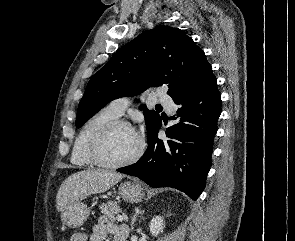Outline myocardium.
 Here are the masks:
<instances>
[{"label": "myocardium", "mask_w": 295, "mask_h": 241, "mask_svg": "<svg viewBox=\"0 0 295 241\" xmlns=\"http://www.w3.org/2000/svg\"><path fill=\"white\" fill-rule=\"evenodd\" d=\"M120 127L128 128L134 131L138 137L139 146L135 154L130 158L119 162L109 161L104 157L103 148L109 136ZM144 151V139L135 131L129 122L119 118L107 123L104 127H102L91 141L89 147V155L93 162L100 167L111 169L122 168L136 163L143 156Z\"/></svg>", "instance_id": "1"}]
</instances>
